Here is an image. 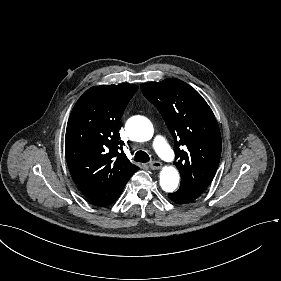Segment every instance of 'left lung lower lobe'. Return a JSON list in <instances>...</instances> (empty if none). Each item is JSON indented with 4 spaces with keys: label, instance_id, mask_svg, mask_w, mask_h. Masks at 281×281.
<instances>
[{
    "label": "left lung lower lobe",
    "instance_id": "left-lung-lower-lobe-1",
    "mask_svg": "<svg viewBox=\"0 0 281 281\" xmlns=\"http://www.w3.org/2000/svg\"><path fill=\"white\" fill-rule=\"evenodd\" d=\"M200 194L190 191L184 187H180L177 192L168 194V197L175 203L185 204L189 203L196 198H198Z\"/></svg>",
    "mask_w": 281,
    "mask_h": 281
}]
</instances>
